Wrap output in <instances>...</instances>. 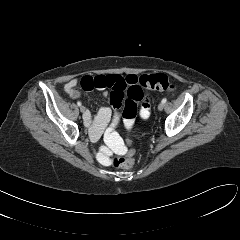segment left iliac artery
<instances>
[{
    "label": "left iliac artery",
    "mask_w": 240,
    "mask_h": 240,
    "mask_svg": "<svg viewBox=\"0 0 240 240\" xmlns=\"http://www.w3.org/2000/svg\"><path fill=\"white\" fill-rule=\"evenodd\" d=\"M166 101H167V99H166V98H163L161 102H162L163 104H165Z\"/></svg>",
    "instance_id": "left-iliac-artery-1"
}]
</instances>
